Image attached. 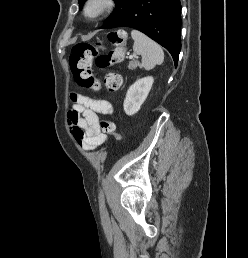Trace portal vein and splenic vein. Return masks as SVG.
<instances>
[{"label":"portal vein and splenic vein","mask_w":248,"mask_h":258,"mask_svg":"<svg viewBox=\"0 0 248 258\" xmlns=\"http://www.w3.org/2000/svg\"><path fill=\"white\" fill-rule=\"evenodd\" d=\"M133 58H136V56H132V55L129 56V59H133Z\"/></svg>","instance_id":"portal-vein-and-splenic-vein-1"}]
</instances>
